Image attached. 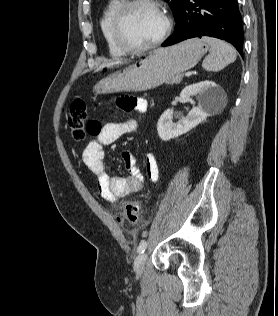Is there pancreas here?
I'll return each instance as SVG.
<instances>
[{
    "label": "pancreas",
    "instance_id": "cf45deb5",
    "mask_svg": "<svg viewBox=\"0 0 278 316\" xmlns=\"http://www.w3.org/2000/svg\"><path fill=\"white\" fill-rule=\"evenodd\" d=\"M182 78H183L182 74H177L173 76L172 78H170L167 84H170V85L179 84L182 81Z\"/></svg>",
    "mask_w": 278,
    "mask_h": 316
}]
</instances>
